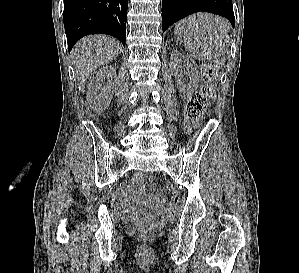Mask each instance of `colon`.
Returning <instances> with one entry per match:
<instances>
[{
	"label": "colon",
	"instance_id": "colon-1",
	"mask_svg": "<svg viewBox=\"0 0 299 273\" xmlns=\"http://www.w3.org/2000/svg\"><path fill=\"white\" fill-rule=\"evenodd\" d=\"M201 78L203 85L187 102L185 107V117L193 125H198L201 117L206 111L210 102L214 99V82L217 78V66L214 62H205L201 67ZM179 198L173 197L168 212V218L177 215ZM131 232L138 237L145 238L152 233V228L143 223H135L131 226Z\"/></svg>",
	"mask_w": 299,
	"mask_h": 273
}]
</instances>
